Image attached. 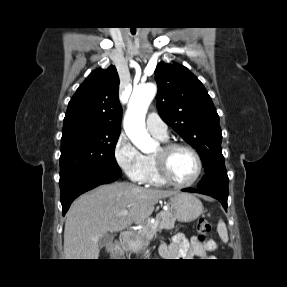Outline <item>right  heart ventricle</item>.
Wrapping results in <instances>:
<instances>
[{
  "instance_id": "1",
  "label": "right heart ventricle",
  "mask_w": 287,
  "mask_h": 287,
  "mask_svg": "<svg viewBox=\"0 0 287 287\" xmlns=\"http://www.w3.org/2000/svg\"><path fill=\"white\" fill-rule=\"evenodd\" d=\"M145 171L142 183L152 186H165V182L159 175L153 155H145Z\"/></svg>"
}]
</instances>
